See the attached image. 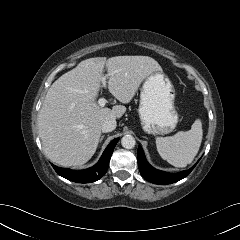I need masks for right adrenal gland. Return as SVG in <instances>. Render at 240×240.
Returning a JSON list of instances; mask_svg holds the SVG:
<instances>
[{
    "instance_id": "right-adrenal-gland-1",
    "label": "right adrenal gland",
    "mask_w": 240,
    "mask_h": 240,
    "mask_svg": "<svg viewBox=\"0 0 240 240\" xmlns=\"http://www.w3.org/2000/svg\"><path fill=\"white\" fill-rule=\"evenodd\" d=\"M103 138H104V135L101 136V138H100V142L103 140Z\"/></svg>"
}]
</instances>
